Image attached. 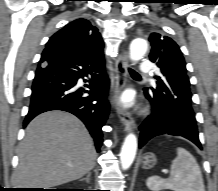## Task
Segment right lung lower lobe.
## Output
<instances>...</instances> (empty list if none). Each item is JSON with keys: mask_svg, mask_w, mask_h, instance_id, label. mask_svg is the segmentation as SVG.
Wrapping results in <instances>:
<instances>
[{"mask_svg": "<svg viewBox=\"0 0 218 191\" xmlns=\"http://www.w3.org/2000/svg\"><path fill=\"white\" fill-rule=\"evenodd\" d=\"M103 57V54L79 56L57 48H45L33 80L24 127L40 113L67 111L84 122L99 151L103 141L101 127L109 113V104L103 101L108 82ZM84 77L89 78L85 82H89L86 86L90 90H77V80Z\"/></svg>", "mask_w": 218, "mask_h": 191, "instance_id": "98d812e1", "label": "right lung lower lobe"}]
</instances>
